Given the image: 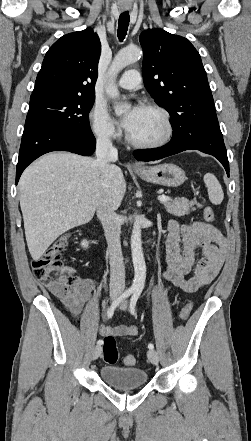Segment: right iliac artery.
I'll use <instances>...</instances> for the list:
<instances>
[{"label":"right iliac artery","mask_w":251,"mask_h":441,"mask_svg":"<svg viewBox=\"0 0 251 441\" xmlns=\"http://www.w3.org/2000/svg\"><path fill=\"white\" fill-rule=\"evenodd\" d=\"M135 289L134 288H129L126 291H124L112 304L111 306L108 308L107 310V316L108 318H112L115 309L117 308V306L123 301L125 300L127 297H129L132 293H134ZM98 345H102L103 341L100 339L97 341Z\"/></svg>","instance_id":"1"}]
</instances>
